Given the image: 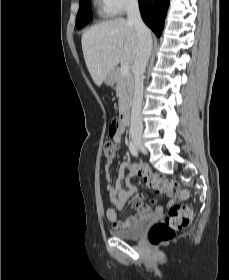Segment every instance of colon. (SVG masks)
Masks as SVG:
<instances>
[{
	"instance_id": "obj_1",
	"label": "colon",
	"mask_w": 229,
	"mask_h": 280,
	"mask_svg": "<svg viewBox=\"0 0 229 280\" xmlns=\"http://www.w3.org/2000/svg\"><path fill=\"white\" fill-rule=\"evenodd\" d=\"M118 129V122L113 121L109 127L110 135H113ZM117 152V146L111 140H108L103 149L104 159L107 163H112ZM151 186L155 188H164L169 193L180 198L186 197V192L178 187L174 180L166 181L161 175H156L150 181ZM191 211L186 206L173 205L169 208L164 219L151 226L148 232V240L153 245H162L172 240L177 231L185 228L191 219Z\"/></svg>"
}]
</instances>
